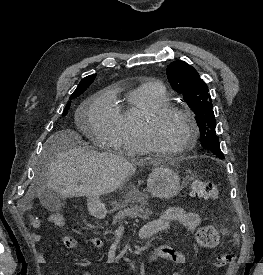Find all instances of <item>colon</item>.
I'll return each instance as SVG.
<instances>
[{"mask_svg":"<svg viewBox=\"0 0 263 275\" xmlns=\"http://www.w3.org/2000/svg\"><path fill=\"white\" fill-rule=\"evenodd\" d=\"M191 193L197 198L207 201H215L218 199L219 192L215 183L210 180L196 179L191 185ZM52 221L57 224L61 222V216L54 215ZM197 242L202 247H214L220 242L219 232L212 226L202 228L197 234ZM232 261V256L224 254L218 257L213 265L216 268H222Z\"/></svg>","mask_w":263,"mask_h":275,"instance_id":"colon-1","label":"colon"}]
</instances>
